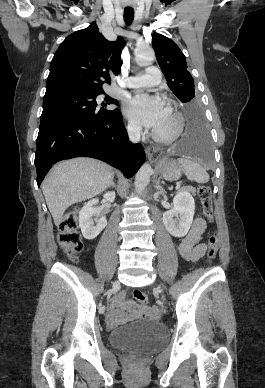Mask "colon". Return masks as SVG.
Returning a JSON list of instances; mask_svg holds the SVG:
<instances>
[{"instance_id":"5ec220e1","label":"colon","mask_w":265,"mask_h":388,"mask_svg":"<svg viewBox=\"0 0 265 388\" xmlns=\"http://www.w3.org/2000/svg\"><path fill=\"white\" fill-rule=\"evenodd\" d=\"M201 209L203 215L212 222L214 220L213 213V202H212V193L210 187L202 185L198 188L197 191ZM59 243L62 249L70 256L73 260L77 259L78 254L83 249V242L81 235L78 230V217L77 211H70L65 214L63 220L59 225ZM219 249V240L218 237L213 234L208 239V251H207V260L213 261ZM134 297L140 303H145L147 301V295L142 290H134Z\"/></svg>"}]
</instances>
